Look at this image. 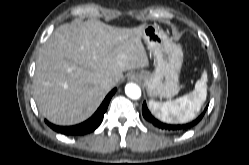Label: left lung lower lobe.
<instances>
[{
  "mask_svg": "<svg viewBox=\"0 0 249 165\" xmlns=\"http://www.w3.org/2000/svg\"><path fill=\"white\" fill-rule=\"evenodd\" d=\"M206 109L207 107L205 108L204 112L194 121L187 123V124H182V125H170V124H165V123L160 122L159 120H157L151 115L145 102L143 103V106H142V114L148 123H150L151 125H153L155 128L159 130L166 131V132H181V131L190 129L191 127L199 123L202 117L204 116Z\"/></svg>",
  "mask_w": 249,
  "mask_h": 165,
  "instance_id": "left-lung-lower-lobe-1",
  "label": "left lung lower lobe"
}]
</instances>
